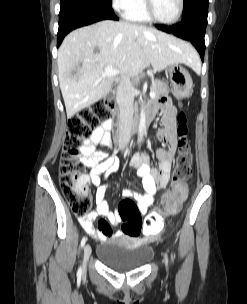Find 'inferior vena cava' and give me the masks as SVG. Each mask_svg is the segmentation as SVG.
Segmentation results:
<instances>
[{"instance_id":"obj_1","label":"inferior vena cava","mask_w":247,"mask_h":304,"mask_svg":"<svg viewBox=\"0 0 247 304\" xmlns=\"http://www.w3.org/2000/svg\"><path fill=\"white\" fill-rule=\"evenodd\" d=\"M116 101L120 110L118 121L119 146L121 149H124L131 139L134 112V88L131 84L130 78L126 75H122L119 78L116 91Z\"/></svg>"}]
</instances>
